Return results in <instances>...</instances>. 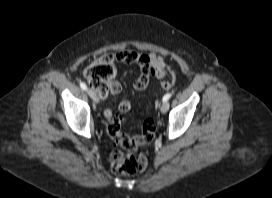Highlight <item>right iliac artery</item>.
<instances>
[{"instance_id": "obj_1", "label": "right iliac artery", "mask_w": 272, "mask_h": 198, "mask_svg": "<svg viewBox=\"0 0 272 198\" xmlns=\"http://www.w3.org/2000/svg\"><path fill=\"white\" fill-rule=\"evenodd\" d=\"M80 87H81V89H83V90H87V86H86V84L83 83V82L80 83Z\"/></svg>"}]
</instances>
